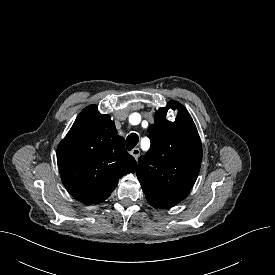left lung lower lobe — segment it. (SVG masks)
I'll use <instances>...</instances> for the list:
<instances>
[{
    "mask_svg": "<svg viewBox=\"0 0 275 275\" xmlns=\"http://www.w3.org/2000/svg\"><path fill=\"white\" fill-rule=\"evenodd\" d=\"M147 201L155 208H170L175 206L179 201L154 199L149 196L146 197Z\"/></svg>",
    "mask_w": 275,
    "mask_h": 275,
    "instance_id": "left-lung-lower-lobe-1",
    "label": "left lung lower lobe"
}]
</instances>
